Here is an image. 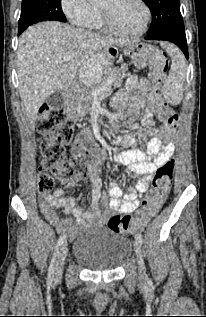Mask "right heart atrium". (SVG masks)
Here are the masks:
<instances>
[{
  "label": "right heart atrium",
  "instance_id": "right-heart-atrium-1",
  "mask_svg": "<svg viewBox=\"0 0 206 317\" xmlns=\"http://www.w3.org/2000/svg\"><path fill=\"white\" fill-rule=\"evenodd\" d=\"M61 8L67 19L78 27H89L95 15V6L88 0H61Z\"/></svg>",
  "mask_w": 206,
  "mask_h": 317
}]
</instances>
